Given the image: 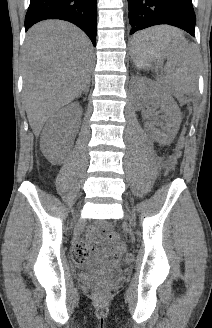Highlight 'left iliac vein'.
<instances>
[{
  "instance_id": "left-iliac-vein-1",
  "label": "left iliac vein",
  "mask_w": 212,
  "mask_h": 328,
  "mask_svg": "<svg viewBox=\"0 0 212 328\" xmlns=\"http://www.w3.org/2000/svg\"><path fill=\"white\" fill-rule=\"evenodd\" d=\"M127 218L129 219V220H133V217L128 213L127 214Z\"/></svg>"
}]
</instances>
